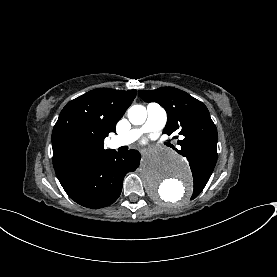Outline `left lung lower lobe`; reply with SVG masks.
Returning <instances> with one entry per match:
<instances>
[{
	"label": "left lung lower lobe",
	"instance_id": "left-lung-lower-lobe-1",
	"mask_svg": "<svg viewBox=\"0 0 277 277\" xmlns=\"http://www.w3.org/2000/svg\"><path fill=\"white\" fill-rule=\"evenodd\" d=\"M179 153L187 158L192 171L203 167L213 170L217 161V146L215 144H205L181 150Z\"/></svg>",
	"mask_w": 277,
	"mask_h": 277
}]
</instances>
